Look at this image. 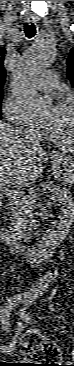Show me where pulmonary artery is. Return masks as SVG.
Segmentation results:
<instances>
[{
	"mask_svg": "<svg viewBox=\"0 0 74 366\" xmlns=\"http://www.w3.org/2000/svg\"><path fill=\"white\" fill-rule=\"evenodd\" d=\"M59 83L57 72L51 69L41 73L36 81V87L39 91L48 92L54 90Z\"/></svg>",
	"mask_w": 74,
	"mask_h": 366,
	"instance_id": "1",
	"label": "pulmonary artery"
}]
</instances>
